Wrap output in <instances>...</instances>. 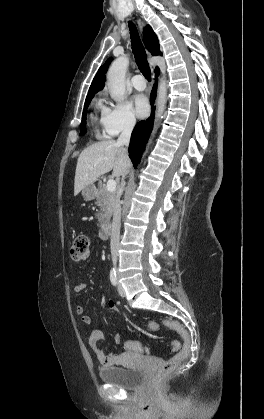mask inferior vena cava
Wrapping results in <instances>:
<instances>
[{
  "instance_id": "602c4592",
  "label": "inferior vena cava",
  "mask_w": 264,
  "mask_h": 419,
  "mask_svg": "<svg viewBox=\"0 0 264 419\" xmlns=\"http://www.w3.org/2000/svg\"><path fill=\"white\" fill-rule=\"evenodd\" d=\"M135 123L136 121L134 118L128 119L116 142L117 145L122 147L125 152H127V147L129 145L131 133L135 126ZM124 177L125 176H123V181H122L123 186L125 185ZM121 212H122V209L118 201L114 208V216H113L112 231H111V242H110L112 260H113L114 265H116V262H117V250L119 247Z\"/></svg>"
}]
</instances>
